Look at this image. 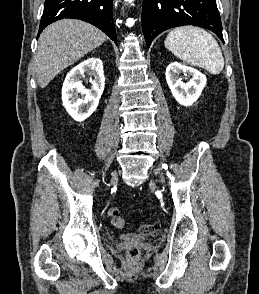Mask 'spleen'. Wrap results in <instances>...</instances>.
Here are the masks:
<instances>
[{"mask_svg":"<svg viewBox=\"0 0 259 294\" xmlns=\"http://www.w3.org/2000/svg\"><path fill=\"white\" fill-rule=\"evenodd\" d=\"M164 44L182 61L202 67L214 75L224 68V58L217 41L203 29L178 27L168 33Z\"/></svg>","mask_w":259,"mask_h":294,"instance_id":"1","label":"spleen"}]
</instances>
